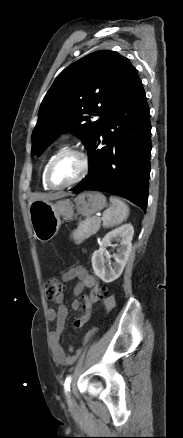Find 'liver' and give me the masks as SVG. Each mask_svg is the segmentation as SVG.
Returning a JSON list of instances; mask_svg holds the SVG:
<instances>
[{
    "label": "liver",
    "mask_w": 183,
    "mask_h": 438,
    "mask_svg": "<svg viewBox=\"0 0 183 438\" xmlns=\"http://www.w3.org/2000/svg\"><path fill=\"white\" fill-rule=\"evenodd\" d=\"M67 195L68 194L61 193V192L51 193V194H38V195L34 196L33 198H31V200L29 201V205L33 201H35V200H47V201H50V200H56V199H60V198L66 197Z\"/></svg>",
    "instance_id": "obj_1"
}]
</instances>
